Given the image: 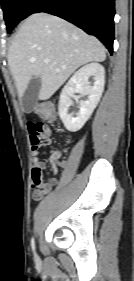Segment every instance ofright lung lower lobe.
I'll list each match as a JSON object with an SVG mask.
<instances>
[{"mask_svg": "<svg viewBox=\"0 0 134 281\" xmlns=\"http://www.w3.org/2000/svg\"><path fill=\"white\" fill-rule=\"evenodd\" d=\"M115 0H35L27 16L46 12L63 18L92 34L113 53Z\"/></svg>", "mask_w": 134, "mask_h": 281, "instance_id": "1", "label": "right lung lower lobe"}]
</instances>
